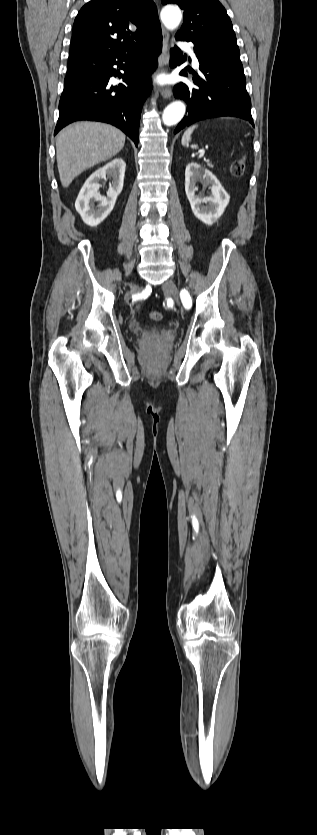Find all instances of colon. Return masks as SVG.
Instances as JSON below:
<instances>
[{"label": "colon", "mask_w": 317, "mask_h": 835, "mask_svg": "<svg viewBox=\"0 0 317 835\" xmlns=\"http://www.w3.org/2000/svg\"><path fill=\"white\" fill-rule=\"evenodd\" d=\"M245 171L246 161L244 157L236 160L231 166V173L236 178L242 177L245 174ZM149 317L152 321L158 322L162 319V314L159 311H152L150 312Z\"/></svg>", "instance_id": "1"}]
</instances>
